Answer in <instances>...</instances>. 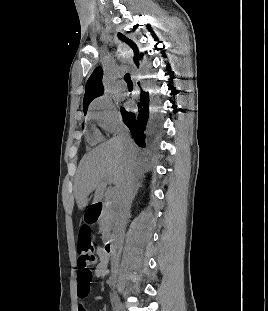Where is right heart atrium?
I'll use <instances>...</instances> for the list:
<instances>
[{
  "label": "right heart atrium",
  "mask_w": 268,
  "mask_h": 311,
  "mask_svg": "<svg viewBox=\"0 0 268 311\" xmlns=\"http://www.w3.org/2000/svg\"><path fill=\"white\" fill-rule=\"evenodd\" d=\"M89 116L107 133H114L120 127V116L108 97L97 99L90 107Z\"/></svg>",
  "instance_id": "d8ad5b80"
}]
</instances>
